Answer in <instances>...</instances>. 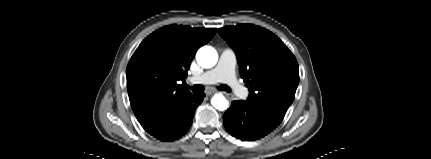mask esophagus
<instances>
[{"label": "esophagus", "mask_w": 431, "mask_h": 159, "mask_svg": "<svg viewBox=\"0 0 431 159\" xmlns=\"http://www.w3.org/2000/svg\"><path fill=\"white\" fill-rule=\"evenodd\" d=\"M216 92V90L215 89H209V90H207L206 91V95H212V94H214Z\"/></svg>", "instance_id": "34e87169"}]
</instances>
